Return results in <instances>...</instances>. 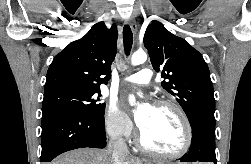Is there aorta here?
I'll use <instances>...</instances> for the list:
<instances>
[{
    "mask_svg": "<svg viewBox=\"0 0 251 164\" xmlns=\"http://www.w3.org/2000/svg\"><path fill=\"white\" fill-rule=\"evenodd\" d=\"M146 60H147V54L144 51H137L131 57V64L133 66H137V65L143 64ZM140 96L142 95L140 94ZM129 103L131 105H135L134 96L129 97Z\"/></svg>",
    "mask_w": 251,
    "mask_h": 164,
    "instance_id": "762f6f07",
    "label": "aorta"
}]
</instances>
